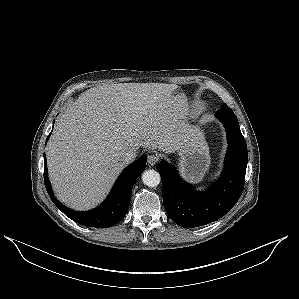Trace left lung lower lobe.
<instances>
[{"instance_id": "0a47b994", "label": "left lung lower lobe", "mask_w": 299, "mask_h": 299, "mask_svg": "<svg viewBox=\"0 0 299 299\" xmlns=\"http://www.w3.org/2000/svg\"><path fill=\"white\" fill-rule=\"evenodd\" d=\"M227 131L225 167L206 192H196L165 161L157 165L162 179L163 203L168 216L179 226L194 228L224 216L239 200L245 181L248 152L234 112L223 105L216 112Z\"/></svg>"}]
</instances>
